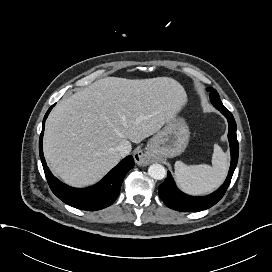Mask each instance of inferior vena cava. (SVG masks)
<instances>
[{"label": "inferior vena cava", "instance_id": "obj_1", "mask_svg": "<svg viewBox=\"0 0 272 272\" xmlns=\"http://www.w3.org/2000/svg\"><path fill=\"white\" fill-rule=\"evenodd\" d=\"M119 154L124 157L131 152V143L129 141H123L116 147Z\"/></svg>", "mask_w": 272, "mask_h": 272}]
</instances>
